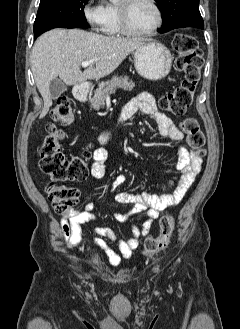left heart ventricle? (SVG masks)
Instances as JSON below:
<instances>
[{"label":"left heart ventricle","instance_id":"1","mask_svg":"<svg viewBox=\"0 0 240 329\" xmlns=\"http://www.w3.org/2000/svg\"><path fill=\"white\" fill-rule=\"evenodd\" d=\"M156 22V12L148 0H136L129 9V24L135 31L150 29Z\"/></svg>","mask_w":240,"mask_h":329}]
</instances>
